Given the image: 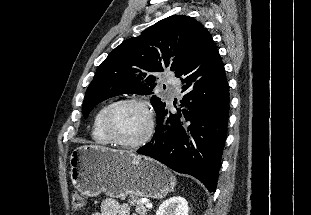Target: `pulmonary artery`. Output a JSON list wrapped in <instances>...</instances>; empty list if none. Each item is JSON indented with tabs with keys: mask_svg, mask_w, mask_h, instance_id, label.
<instances>
[{
	"mask_svg": "<svg viewBox=\"0 0 311 215\" xmlns=\"http://www.w3.org/2000/svg\"><path fill=\"white\" fill-rule=\"evenodd\" d=\"M166 82L172 86L173 93L177 94L180 91V83L172 76H167L166 77Z\"/></svg>",
	"mask_w": 311,
	"mask_h": 215,
	"instance_id": "obj_1",
	"label": "pulmonary artery"
}]
</instances>
